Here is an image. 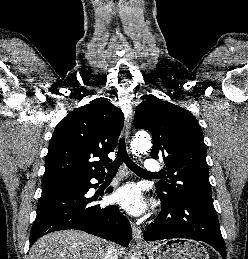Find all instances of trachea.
I'll use <instances>...</instances> for the list:
<instances>
[{
	"instance_id": "1",
	"label": "trachea",
	"mask_w": 248,
	"mask_h": 259,
	"mask_svg": "<svg viewBox=\"0 0 248 259\" xmlns=\"http://www.w3.org/2000/svg\"><path fill=\"white\" fill-rule=\"evenodd\" d=\"M122 161H124V163H126V165L128 166V168H130L133 172L137 173V174H145V175H157L154 173H149L146 170H144L143 168L139 167L138 165H136L128 156L127 152H126V146H125V140L122 137L120 139L119 142V150L117 153V157L116 159L106 165V168L108 170V175H114L117 173L119 166L121 165Z\"/></svg>"
}]
</instances>
